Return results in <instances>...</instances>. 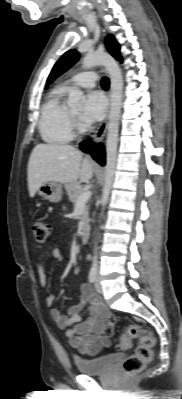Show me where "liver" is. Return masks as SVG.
<instances>
[{
  "instance_id": "6515ba94",
  "label": "liver",
  "mask_w": 182,
  "mask_h": 399,
  "mask_svg": "<svg viewBox=\"0 0 182 399\" xmlns=\"http://www.w3.org/2000/svg\"><path fill=\"white\" fill-rule=\"evenodd\" d=\"M27 173L29 194L34 197L38 187L47 181L73 183L92 179L93 167L70 145L38 144L30 155Z\"/></svg>"
}]
</instances>
